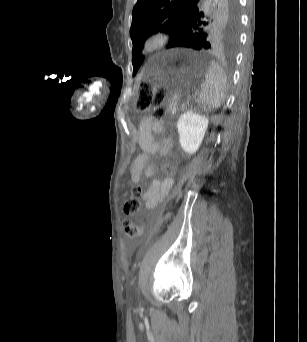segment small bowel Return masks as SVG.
I'll return each mask as SVG.
<instances>
[{"label":"small bowel","mask_w":307,"mask_h":342,"mask_svg":"<svg viewBox=\"0 0 307 342\" xmlns=\"http://www.w3.org/2000/svg\"><path fill=\"white\" fill-rule=\"evenodd\" d=\"M157 135L162 137L156 138ZM137 138L142 153L135 158L130 168L131 180L134 184H140L142 175L153 177L156 167L149 162L150 157L163 156L172 146V140L164 136L163 122L150 116L141 121ZM171 183L170 178H166L163 182L154 179L142 196L145 208L148 210L155 208L163 200Z\"/></svg>","instance_id":"1"}]
</instances>
